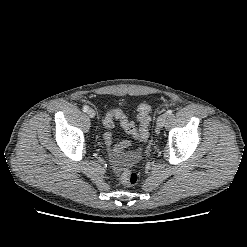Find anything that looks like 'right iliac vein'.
<instances>
[{"instance_id": "obj_1", "label": "right iliac vein", "mask_w": 247, "mask_h": 247, "mask_svg": "<svg viewBox=\"0 0 247 247\" xmlns=\"http://www.w3.org/2000/svg\"><path fill=\"white\" fill-rule=\"evenodd\" d=\"M87 115L90 117V118H94L95 117V111L90 108L88 111H87Z\"/></svg>"}]
</instances>
